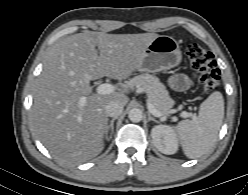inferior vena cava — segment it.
<instances>
[{
    "label": "inferior vena cava",
    "mask_w": 248,
    "mask_h": 195,
    "mask_svg": "<svg viewBox=\"0 0 248 195\" xmlns=\"http://www.w3.org/2000/svg\"><path fill=\"white\" fill-rule=\"evenodd\" d=\"M123 104L119 101H110L106 106L105 110L109 117H118L123 111Z\"/></svg>",
    "instance_id": "602c4592"
}]
</instances>
